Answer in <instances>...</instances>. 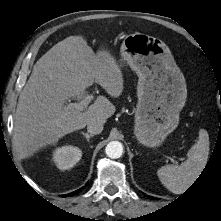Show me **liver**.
<instances>
[{
    "label": "liver",
    "instance_id": "liver-1",
    "mask_svg": "<svg viewBox=\"0 0 221 221\" xmlns=\"http://www.w3.org/2000/svg\"><path fill=\"white\" fill-rule=\"evenodd\" d=\"M94 82L114 98L124 89L116 59L104 49L95 54L83 36L67 37L36 62L15 113L13 139L21 158L54 145L92 120L105 123L115 113V106L101 95L84 112L64 106L70 97L83 99Z\"/></svg>",
    "mask_w": 221,
    "mask_h": 221
}]
</instances>
